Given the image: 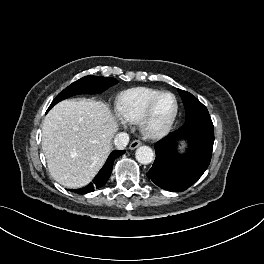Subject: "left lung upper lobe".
<instances>
[{"mask_svg": "<svg viewBox=\"0 0 264 264\" xmlns=\"http://www.w3.org/2000/svg\"><path fill=\"white\" fill-rule=\"evenodd\" d=\"M178 92L182 98L185 113H186V122L189 124L192 121L201 118H210L207 108L192 94L189 92L178 89Z\"/></svg>", "mask_w": 264, "mask_h": 264, "instance_id": "1", "label": "left lung upper lobe"}]
</instances>
